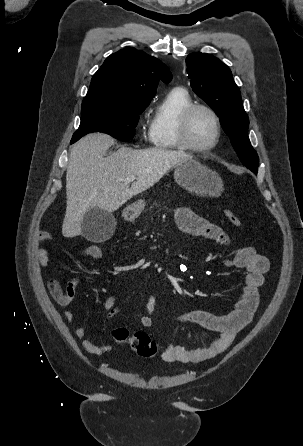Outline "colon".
Returning <instances> with one entry per match:
<instances>
[{
	"mask_svg": "<svg viewBox=\"0 0 303 446\" xmlns=\"http://www.w3.org/2000/svg\"><path fill=\"white\" fill-rule=\"evenodd\" d=\"M228 221L240 227L242 222L240 218L231 210H225ZM103 248L100 245H89L85 249V255L93 260H98L103 256ZM112 336L117 343H126L139 355L145 358L153 357L157 352L156 343L145 332H135L131 334L128 329L118 327L112 331Z\"/></svg>",
	"mask_w": 303,
	"mask_h": 446,
	"instance_id": "colon-1",
	"label": "colon"
}]
</instances>
